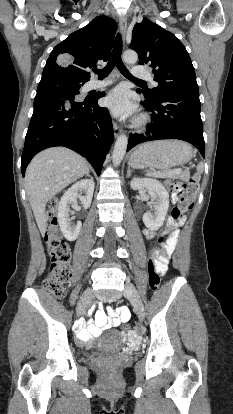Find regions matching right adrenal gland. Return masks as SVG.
<instances>
[{
    "mask_svg": "<svg viewBox=\"0 0 233 414\" xmlns=\"http://www.w3.org/2000/svg\"><path fill=\"white\" fill-rule=\"evenodd\" d=\"M87 177H90L92 179V177L90 176V172L88 171L86 174Z\"/></svg>",
    "mask_w": 233,
    "mask_h": 414,
    "instance_id": "obj_1",
    "label": "right adrenal gland"
}]
</instances>
